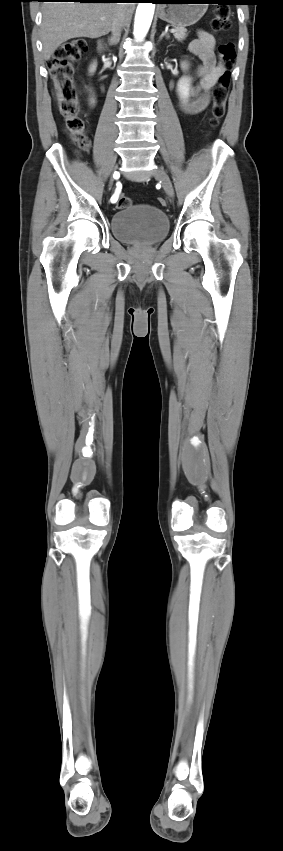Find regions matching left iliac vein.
Instances as JSON below:
<instances>
[{"mask_svg":"<svg viewBox=\"0 0 283 851\" xmlns=\"http://www.w3.org/2000/svg\"><path fill=\"white\" fill-rule=\"evenodd\" d=\"M154 175L161 182L163 189L165 190L166 194L170 198H173L174 197V189H173L171 180H170L169 176L167 175V173L162 168H158L155 171Z\"/></svg>","mask_w":283,"mask_h":851,"instance_id":"left-iliac-vein-1","label":"left iliac vein"}]
</instances>
